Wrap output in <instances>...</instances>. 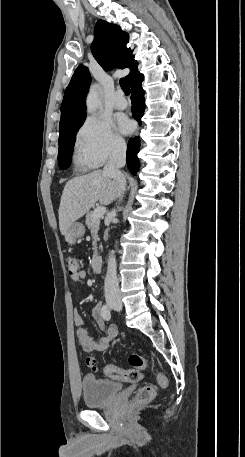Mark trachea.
I'll use <instances>...</instances> for the list:
<instances>
[{
  "instance_id": "obj_1",
  "label": "trachea",
  "mask_w": 245,
  "mask_h": 457,
  "mask_svg": "<svg viewBox=\"0 0 245 457\" xmlns=\"http://www.w3.org/2000/svg\"><path fill=\"white\" fill-rule=\"evenodd\" d=\"M120 86L126 95L130 94L129 84L126 79L123 78L120 80Z\"/></svg>"
}]
</instances>
